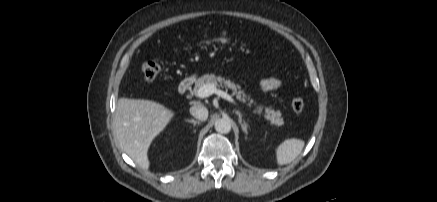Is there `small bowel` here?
Segmentation results:
<instances>
[{
    "mask_svg": "<svg viewBox=\"0 0 437 202\" xmlns=\"http://www.w3.org/2000/svg\"><path fill=\"white\" fill-rule=\"evenodd\" d=\"M282 82L280 79L275 77L264 78L260 81V88L263 91H273L281 87Z\"/></svg>",
    "mask_w": 437,
    "mask_h": 202,
    "instance_id": "c3829d8e",
    "label": "small bowel"
}]
</instances>
